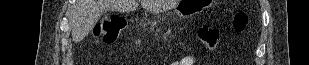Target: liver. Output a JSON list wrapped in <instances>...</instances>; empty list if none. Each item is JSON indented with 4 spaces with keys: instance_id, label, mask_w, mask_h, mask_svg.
<instances>
[{
    "instance_id": "1",
    "label": "liver",
    "mask_w": 309,
    "mask_h": 65,
    "mask_svg": "<svg viewBox=\"0 0 309 65\" xmlns=\"http://www.w3.org/2000/svg\"><path fill=\"white\" fill-rule=\"evenodd\" d=\"M141 6L150 12H161L174 6L171 0H140ZM137 0H77L71 19L72 39L81 42L93 29L103 12L135 11Z\"/></svg>"
}]
</instances>
